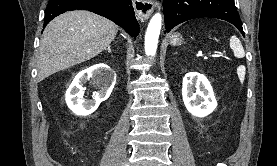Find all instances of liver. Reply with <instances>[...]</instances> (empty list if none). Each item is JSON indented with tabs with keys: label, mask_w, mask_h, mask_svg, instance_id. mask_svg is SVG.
Here are the masks:
<instances>
[{
	"label": "liver",
	"mask_w": 277,
	"mask_h": 166,
	"mask_svg": "<svg viewBox=\"0 0 277 166\" xmlns=\"http://www.w3.org/2000/svg\"><path fill=\"white\" fill-rule=\"evenodd\" d=\"M118 26L85 10L64 13L44 30L38 52V80L88 61L106 50Z\"/></svg>",
	"instance_id": "obj_1"
}]
</instances>
